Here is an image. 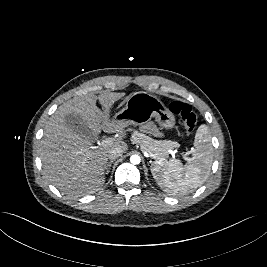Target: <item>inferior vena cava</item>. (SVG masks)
Wrapping results in <instances>:
<instances>
[{
	"label": "inferior vena cava",
	"mask_w": 267,
	"mask_h": 267,
	"mask_svg": "<svg viewBox=\"0 0 267 267\" xmlns=\"http://www.w3.org/2000/svg\"><path fill=\"white\" fill-rule=\"evenodd\" d=\"M123 151L120 148H111L108 151V159L115 160L122 155Z\"/></svg>",
	"instance_id": "602c4592"
}]
</instances>
